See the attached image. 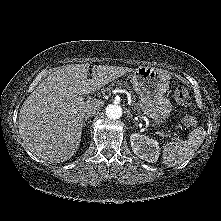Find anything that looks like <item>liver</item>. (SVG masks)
Segmentation results:
<instances>
[{"instance_id":"obj_1","label":"liver","mask_w":221,"mask_h":221,"mask_svg":"<svg viewBox=\"0 0 221 221\" xmlns=\"http://www.w3.org/2000/svg\"><path fill=\"white\" fill-rule=\"evenodd\" d=\"M67 65L50 74L24 101L19 113V134L26 148L49 162H63L77 151L82 135L85 109L100 103L81 95L93 93L131 72L128 67Z\"/></svg>"}]
</instances>
